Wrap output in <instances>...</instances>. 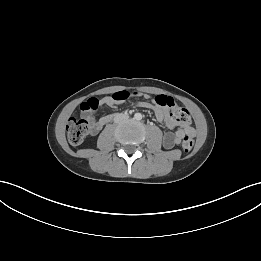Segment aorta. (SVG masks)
<instances>
[{
  "instance_id": "1",
  "label": "aorta",
  "mask_w": 261,
  "mask_h": 261,
  "mask_svg": "<svg viewBox=\"0 0 261 261\" xmlns=\"http://www.w3.org/2000/svg\"><path fill=\"white\" fill-rule=\"evenodd\" d=\"M134 118H135L136 120H141V119H142V115H141L140 113H136V114L134 115Z\"/></svg>"
}]
</instances>
